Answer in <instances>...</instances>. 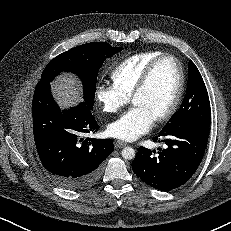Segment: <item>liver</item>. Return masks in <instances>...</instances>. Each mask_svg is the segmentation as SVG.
Instances as JSON below:
<instances>
[{
	"label": "liver",
	"instance_id": "6515ba94",
	"mask_svg": "<svg viewBox=\"0 0 231 231\" xmlns=\"http://www.w3.org/2000/svg\"><path fill=\"white\" fill-rule=\"evenodd\" d=\"M52 91L61 108L76 105L83 101L80 96V85L72 75H62L52 83Z\"/></svg>",
	"mask_w": 231,
	"mask_h": 231
}]
</instances>
